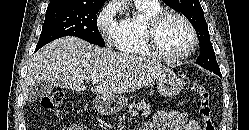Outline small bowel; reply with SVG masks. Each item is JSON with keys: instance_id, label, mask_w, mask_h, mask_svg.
<instances>
[{"instance_id": "1", "label": "small bowel", "mask_w": 249, "mask_h": 130, "mask_svg": "<svg viewBox=\"0 0 249 130\" xmlns=\"http://www.w3.org/2000/svg\"><path fill=\"white\" fill-rule=\"evenodd\" d=\"M60 130H92L83 124L66 125ZM140 130H201L199 124L185 112L162 111L153 122L146 123Z\"/></svg>"}]
</instances>
